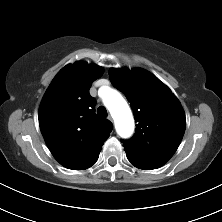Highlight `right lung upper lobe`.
I'll use <instances>...</instances> for the list:
<instances>
[{
	"mask_svg": "<svg viewBox=\"0 0 222 222\" xmlns=\"http://www.w3.org/2000/svg\"><path fill=\"white\" fill-rule=\"evenodd\" d=\"M102 67L78 61L62 68L52 80L39 108L44 140L64 167L84 170L96 163L112 123L94 112L89 89Z\"/></svg>",
	"mask_w": 222,
	"mask_h": 222,
	"instance_id": "1",
	"label": "right lung upper lobe"
}]
</instances>
